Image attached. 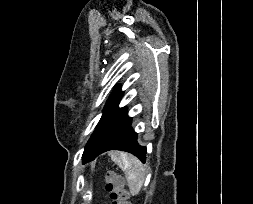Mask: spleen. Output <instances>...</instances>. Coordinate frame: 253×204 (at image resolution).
Masks as SVG:
<instances>
[{"mask_svg":"<svg viewBox=\"0 0 253 204\" xmlns=\"http://www.w3.org/2000/svg\"><path fill=\"white\" fill-rule=\"evenodd\" d=\"M109 155L125 173L131 194L133 196L137 195L140 192L146 177L145 168L141 161L133 155L124 152H111Z\"/></svg>","mask_w":253,"mask_h":204,"instance_id":"spleen-1","label":"spleen"}]
</instances>
